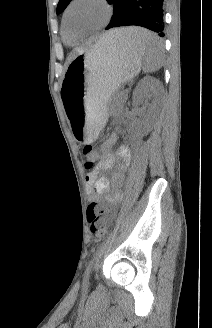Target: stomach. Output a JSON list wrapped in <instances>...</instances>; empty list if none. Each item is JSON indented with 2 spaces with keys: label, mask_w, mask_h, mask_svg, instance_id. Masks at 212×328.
Wrapping results in <instances>:
<instances>
[{
  "label": "stomach",
  "mask_w": 212,
  "mask_h": 328,
  "mask_svg": "<svg viewBox=\"0 0 212 328\" xmlns=\"http://www.w3.org/2000/svg\"><path fill=\"white\" fill-rule=\"evenodd\" d=\"M144 56V50L111 36L102 37L70 62L61 97L78 141L92 142L98 136L108 117L110 97L139 73Z\"/></svg>",
  "instance_id": "stomach-1"
}]
</instances>
